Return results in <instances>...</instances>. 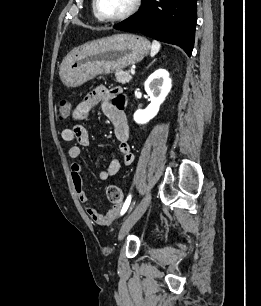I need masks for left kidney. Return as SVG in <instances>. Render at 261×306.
I'll use <instances>...</instances> for the list:
<instances>
[{"mask_svg": "<svg viewBox=\"0 0 261 306\" xmlns=\"http://www.w3.org/2000/svg\"><path fill=\"white\" fill-rule=\"evenodd\" d=\"M144 87L151 103L146 109H139L134 113V121L138 124H146L157 115L160 105L171 90L172 80L168 71L159 69L149 76Z\"/></svg>", "mask_w": 261, "mask_h": 306, "instance_id": "1", "label": "left kidney"}]
</instances>
